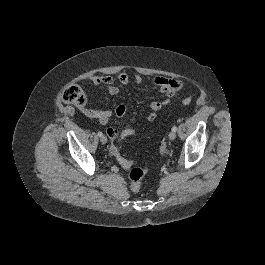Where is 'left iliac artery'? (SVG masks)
I'll return each instance as SVG.
<instances>
[{"label":"left iliac artery","instance_id":"left-iliac-artery-1","mask_svg":"<svg viewBox=\"0 0 265 265\" xmlns=\"http://www.w3.org/2000/svg\"><path fill=\"white\" fill-rule=\"evenodd\" d=\"M172 131H174V132L177 131V126L176 125L172 127Z\"/></svg>","mask_w":265,"mask_h":265}]
</instances>
